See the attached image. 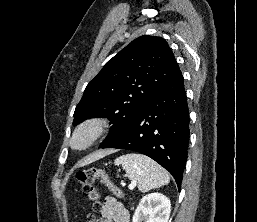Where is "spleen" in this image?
Instances as JSON below:
<instances>
[{
	"label": "spleen",
	"instance_id": "obj_1",
	"mask_svg": "<svg viewBox=\"0 0 257 222\" xmlns=\"http://www.w3.org/2000/svg\"><path fill=\"white\" fill-rule=\"evenodd\" d=\"M115 165H122L128 178L138 184V189L141 192H147L166 185L170 181V177L160 165L149 157L129 153L118 157L114 161Z\"/></svg>",
	"mask_w": 257,
	"mask_h": 222
}]
</instances>
